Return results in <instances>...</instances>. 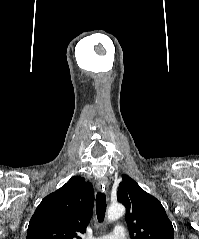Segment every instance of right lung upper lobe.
<instances>
[{
	"label": "right lung upper lobe",
	"instance_id": "obj_1",
	"mask_svg": "<svg viewBox=\"0 0 199 239\" xmlns=\"http://www.w3.org/2000/svg\"><path fill=\"white\" fill-rule=\"evenodd\" d=\"M93 204L92 184L83 177H72L36 208L26 239H81L77 233L85 232Z\"/></svg>",
	"mask_w": 199,
	"mask_h": 239
}]
</instances>
